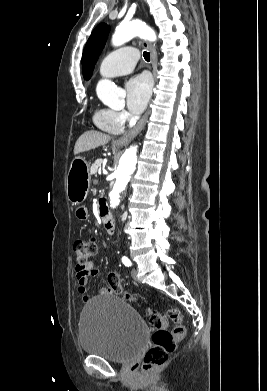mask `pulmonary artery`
I'll return each instance as SVG.
<instances>
[{"mask_svg":"<svg viewBox=\"0 0 267 391\" xmlns=\"http://www.w3.org/2000/svg\"><path fill=\"white\" fill-rule=\"evenodd\" d=\"M138 60V52L135 48L127 46L112 51L106 55L100 63L99 75L103 78H111L130 73Z\"/></svg>","mask_w":267,"mask_h":391,"instance_id":"e3ab8cb5","label":"pulmonary artery"}]
</instances>
